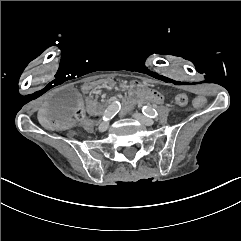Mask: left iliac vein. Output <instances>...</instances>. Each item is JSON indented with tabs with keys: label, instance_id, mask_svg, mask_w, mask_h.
Instances as JSON below:
<instances>
[{
	"label": "left iliac vein",
	"instance_id": "obj_1",
	"mask_svg": "<svg viewBox=\"0 0 241 241\" xmlns=\"http://www.w3.org/2000/svg\"><path fill=\"white\" fill-rule=\"evenodd\" d=\"M133 117L145 126H152L154 124V121L151 118H148L138 112L134 113Z\"/></svg>",
	"mask_w": 241,
	"mask_h": 241
}]
</instances>
